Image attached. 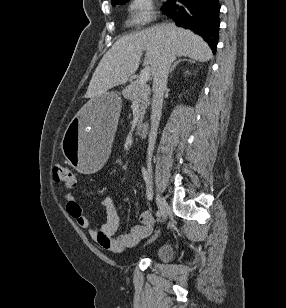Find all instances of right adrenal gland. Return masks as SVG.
<instances>
[{
  "mask_svg": "<svg viewBox=\"0 0 286 308\" xmlns=\"http://www.w3.org/2000/svg\"><path fill=\"white\" fill-rule=\"evenodd\" d=\"M184 61H186V62H188V63H195V61H193V60H191V59H179L178 61H176V62L172 65V67L170 68L169 73H172L173 70H174V68H175L180 62H184Z\"/></svg>",
  "mask_w": 286,
  "mask_h": 308,
  "instance_id": "1",
  "label": "right adrenal gland"
}]
</instances>
